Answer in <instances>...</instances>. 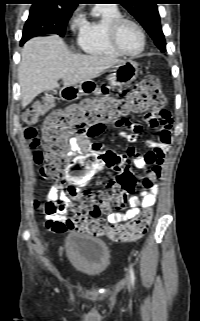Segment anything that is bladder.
<instances>
[{"label": "bladder", "mask_w": 200, "mask_h": 321, "mask_svg": "<svg viewBox=\"0 0 200 321\" xmlns=\"http://www.w3.org/2000/svg\"><path fill=\"white\" fill-rule=\"evenodd\" d=\"M65 250L73 267L89 276L103 274L111 262L109 245L87 233H69L65 238Z\"/></svg>", "instance_id": "1"}]
</instances>
